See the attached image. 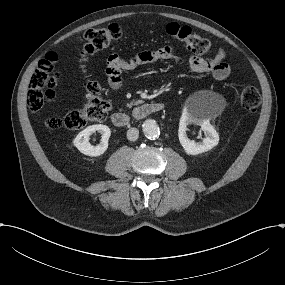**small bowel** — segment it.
<instances>
[{
  "instance_id": "obj_1",
  "label": "small bowel",
  "mask_w": 285,
  "mask_h": 285,
  "mask_svg": "<svg viewBox=\"0 0 285 285\" xmlns=\"http://www.w3.org/2000/svg\"><path fill=\"white\" fill-rule=\"evenodd\" d=\"M225 52L219 49L213 59H206L192 54L187 59L190 69L199 74H208L213 79L221 81L230 75V66L224 61ZM161 60L181 61L179 54L171 47L165 46L155 50H145L135 54L131 59L125 60L118 55L108 58L106 75L110 88L118 91L122 86L121 73L131 71L137 67Z\"/></svg>"
}]
</instances>
